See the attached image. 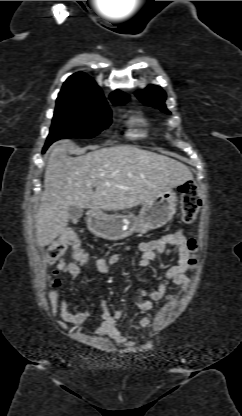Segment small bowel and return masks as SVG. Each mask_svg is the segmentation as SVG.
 <instances>
[{
	"mask_svg": "<svg viewBox=\"0 0 242 416\" xmlns=\"http://www.w3.org/2000/svg\"><path fill=\"white\" fill-rule=\"evenodd\" d=\"M166 246H173L176 248L175 262L165 271L163 278L156 289L151 291L139 289L135 292V303L142 311L153 310L154 302L164 298L172 299L175 297V295H166L167 284L169 282L179 286L182 290L186 289L188 285V279L185 276V272L188 265L189 251L187 248L185 229L181 228L154 240L140 242L136 246V249L140 253L139 257L136 259L137 265L141 267L149 266L157 255L164 251ZM131 249L132 246L127 245L124 247L123 251L128 253ZM120 259L121 254L114 253L107 258H96L93 264L98 272L106 274ZM56 268L59 272H65L72 278L77 277L81 272L80 267L76 263L65 260L60 261ZM60 291V288H56L49 296L52 313L54 315L58 314L61 318L60 326L63 329H67L68 324L80 325L84 323L89 317L88 306H86V309L83 311L76 313L71 312L69 310L67 295H64L59 300ZM99 311L102 323L100 328L96 331V334L99 336L107 335L118 345H125L127 343V337L117 328V321L123 317V311L116 310L112 313L102 297L99 302ZM149 323L150 320L146 317L139 320V326L141 328L147 327Z\"/></svg>",
	"mask_w": 242,
	"mask_h": 416,
	"instance_id": "obj_1",
	"label": "small bowel"
}]
</instances>
